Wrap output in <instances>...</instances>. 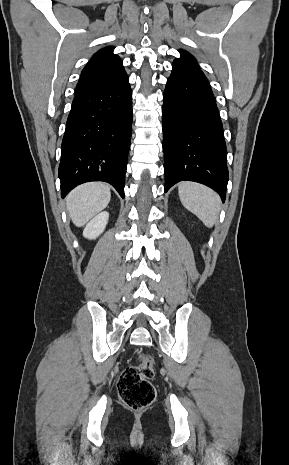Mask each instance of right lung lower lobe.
<instances>
[{"mask_svg": "<svg viewBox=\"0 0 289 465\" xmlns=\"http://www.w3.org/2000/svg\"><path fill=\"white\" fill-rule=\"evenodd\" d=\"M131 129L127 75L112 86L75 95L62 141V198L88 181L108 182L124 198Z\"/></svg>", "mask_w": 289, "mask_h": 465, "instance_id": "obj_1", "label": "right lung lower lobe"}]
</instances>
